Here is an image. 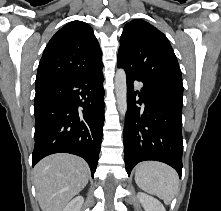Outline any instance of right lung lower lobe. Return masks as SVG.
I'll use <instances>...</instances> for the list:
<instances>
[{"label": "right lung lower lobe", "mask_w": 221, "mask_h": 211, "mask_svg": "<svg viewBox=\"0 0 221 211\" xmlns=\"http://www.w3.org/2000/svg\"><path fill=\"white\" fill-rule=\"evenodd\" d=\"M102 68L36 90L33 166L47 155L66 152L97 167L104 123Z\"/></svg>", "instance_id": "1"}]
</instances>
